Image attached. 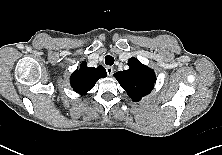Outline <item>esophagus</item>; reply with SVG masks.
<instances>
[{"label":"esophagus","mask_w":222,"mask_h":155,"mask_svg":"<svg viewBox=\"0 0 222 155\" xmlns=\"http://www.w3.org/2000/svg\"><path fill=\"white\" fill-rule=\"evenodd\" d=\"M113 67L112 66H107L106 67V72H107V75L108 76H112V74H113Z\"/></svg>","instance_id":"obj_1"}]
</instances>
